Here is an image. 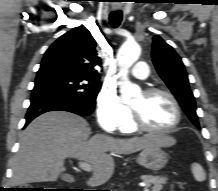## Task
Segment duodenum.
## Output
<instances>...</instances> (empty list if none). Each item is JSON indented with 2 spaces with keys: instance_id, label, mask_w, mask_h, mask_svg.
<instances>
[{
  "instance_id": "1",
  "label": "duodenum",
  "mask_w": 218,
  "mask_h": 191,
  "mask_svg": "<svg viewBox=\"0 0 218 191\" xmlns=\"http://www.w3.org/2000/svg\"><path fill=\"white\" fill-rule=\"evenodd\" d=\"M72 191H80V190H78V189H74V190H72Z\"/></svg>"
}]
</instances>
